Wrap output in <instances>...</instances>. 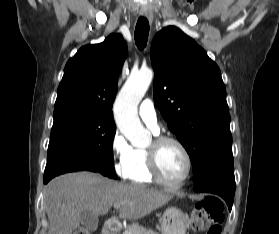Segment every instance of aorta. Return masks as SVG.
Listing matches in <instances>:
<instances>
[{"label": "aorta", "instance_id": "1", "mask_svg": "<svg viewBox=\"0 0 279 234\" xmlns=\"http://www.w3.org/2000/svg\"><path fill=\"white\" fill-rule=\"evenodd\" d=\"M153 79L151 69L130 74L115 102L114 115L118 128L136 147L149 144L150 132L143 127L137 108Z\"/></svg>", "mask_w": 279, "mask_h": 234}]
</instances>
